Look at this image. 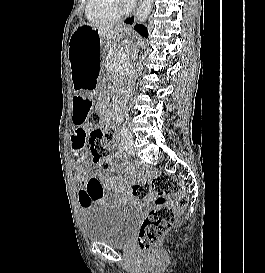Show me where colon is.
Returning <instances> with one entry per match:
<instances>
[{"instance_id": "obj_1", "label": "colon", "mask_w": 265, "mask_h": 273, "mask_svg": "<svg viewBox=\"0 0 265 273\" xmlns=\"http://www.w3.org/2000/svg\"><path fill=\"white\" fill-rule=\"evenodd\" d=\"M88 120L91 125L97 126L101 122V116L93 112ZM113 137L114 130L109 127L105 133L94 130L89 139L93 160L108 171H112V165L107 160L108 153L104 142H112ZM132 175L145 178V181L132 187L134 198L143 200L150 194L154 195L153 208L143 220L137 237L138 246L142 250H150L173 226L177 214L187 205L188 199L182 186L169 173L147 170L143 174L132 173Z\"/></svg>"}]
</instances>
